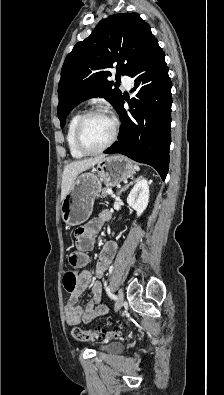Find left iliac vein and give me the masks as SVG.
Masks as SVG:
<instances>
[{
  "label": "left iliac vein",
  "mask_w": 224,
  "mask_h": 395,
  "mask_svg": "<svg viewBox=\"0 0 224 395\" xmlns=\"http://www.w3.org/2000/svg\"><path fill=\"white\" fill-rule=\"evenodd\" d=\"M123 302H124V292H123L122 289H119V291H118V298H117V302H116V305H115V309L119 310L122 307Z\"/></svg>",
  "instance_id": "4c4485c4"
}]
</instances>
